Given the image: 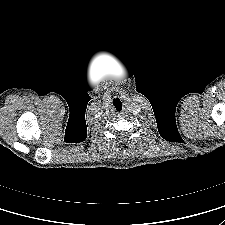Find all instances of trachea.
<instances>
[{
  "label": "trachea",
  "mask_w": 225,
  "mask_h": 225,
  "mask_svg": "<svg viewBox=\"0 0 225 225\" xmlns=\"http://www.w3.org/2000/svg\"><path fill=\"white\" fill-rule=\"evenodd\" d=\"M115 107H116L117 111H122V104L121 103L115 105Z\"/></svg>",
  "instance_id": "trachea-1"
}]
</instances>
